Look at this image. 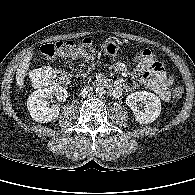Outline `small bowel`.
I'll use <instances>...</instances> for the list:
<instances>
[{
	"label": "small bowel",
	"mask_w": 195,
	"mask_h": 195,
	"mask_svg": "<svg viewBox=\"0 0 195 195\" xmlns=\"http://www.w3.org/2000/svg\"><path fill=\"white\" fill-rule=\"evenodd\" d=\"M113 69L117 73H126L128 71L127 65L123 62L115 63ZM134 71L138 73L140 82L151 88L161 98V100H170V87L173 80L170 74L166 71L163 64L162 70L160 72L147 70L141 64H136ZM134 87L135 84L126 85L122 80H117L114 82L111 94L117 97L128 89H132Z\"/></svg>",
	"instance_id": "obj_1"
}]
</instances>
